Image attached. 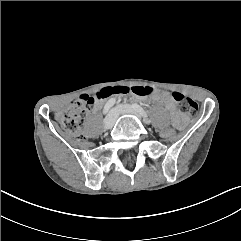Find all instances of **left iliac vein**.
Returning <instances> with one entry per match:
<instances>
[{
    "label": "left iliac vein",
    "instance_id": "left-iliac-vein-1",
    "mask_svg": "<svg viewBox=\"0 0 241 241\" xmlns=\"http://www.w3.org/2000/svg\"><path fill=\"white\" fill-rule=\"evenodd\" d=\"M116 112H117V114H131V115H135L137 117H140L138 112L131 105H128V104L119 105L116 108Z\"/></svg>",
    "mask_w": 241,
    "mask_h": 241
}]
</instances>
